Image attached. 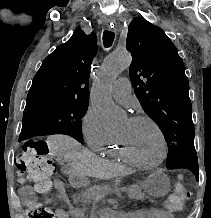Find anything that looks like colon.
<instances>
[{
  "mask_svg": "<svg viewBox=\"0 0 211 218\" xmlns=\"http://www.w3.org/2000/svg\"><path fill=\"white\" fill-rule=\"evenodd\" d=\"M15 164L19 175L32 182L38 193L45 194L52 189L56 169L45 141L36 138L28 139L23 151L16 157ZM187 198L188 192L180 183L175 194L167 200V208L179 210ZM54 217V212L42 203L31 204L28 208V218Z\"/></svg>",
  "mask_w": 211,
  "mask_h": 218,
  "instance_id": "obj_1",
  "label": "colon"
}]
</instances>
